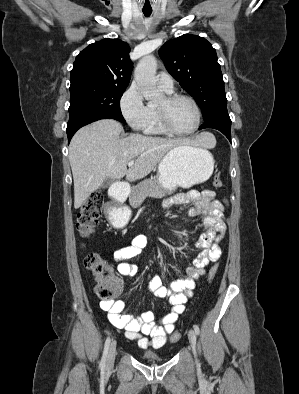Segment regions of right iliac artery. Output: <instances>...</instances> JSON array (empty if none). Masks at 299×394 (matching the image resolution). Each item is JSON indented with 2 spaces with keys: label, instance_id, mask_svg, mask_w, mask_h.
Instances as JSON below:
<instances>
[{
  "label": "right iliac artery",
  "instance_id": "obj_1",
  "mask_svg": "<svg viewBox=\"0 0 299 394\" xmlns=\"http://www.w3.org/2000/svg\"><path fill=\"white\" fill-rule=\"evenodd\" d=\"M110 337H108L105 341V345H104V350H103V355L99 364V367L103 370L105 368V363H106V358H107V354H108V349L110 346Z\"/></svg>",
  "mask_w": 299,
  "mask_h": 394
}]
</instances>
